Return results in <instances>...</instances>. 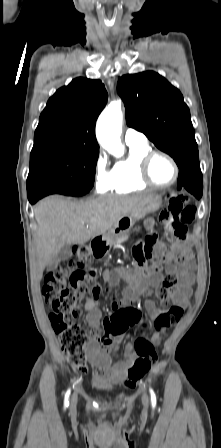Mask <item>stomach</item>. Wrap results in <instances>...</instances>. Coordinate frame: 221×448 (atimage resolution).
<instances>
[{"instance_id":"obj_1","label":"stomach","mask_w":221,"mask_h":448,"mask_svg":"<svg viewBox=\"0 0 221 448\" xmlns=\"http://www.w3.org/2000/svg\"><path fill=\"white\" fill-rule=\"evenodd\" d=\"M162 204V199L158 195L152 196L148 201L144 202L138 208L133 210L128 215L121 218L117 225L111 228L104 239L112 244L116 241L117 238L122 237L129 229L141 218L146 216L149 213L155 212L160 208Z\"/></svg>"}]
</instances>
